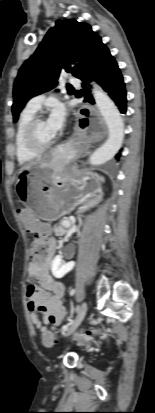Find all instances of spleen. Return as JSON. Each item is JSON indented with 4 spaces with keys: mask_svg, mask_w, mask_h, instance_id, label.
<instances>
[{
    "mask_svg": "<svg viewBox=\"0 0 155 413\" xmlns=\"http://www.w3.org/2000/svg\"><path fill=\"white\" fill-rule=\"evenodd\" d=\"M100 180H101L102 182H104V178H103V177H100Z\"/></svg>",
    "mask_w": 155,
    "mask_h": 413,
    "instance_id": "obj_1",
    "label": "spleen"
}]
</instances>
